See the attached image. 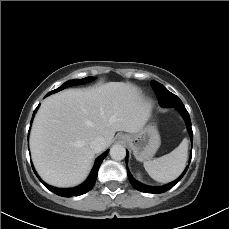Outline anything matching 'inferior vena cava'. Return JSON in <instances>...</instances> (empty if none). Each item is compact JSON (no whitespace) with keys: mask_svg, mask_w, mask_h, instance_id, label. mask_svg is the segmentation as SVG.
<instances>
[{"mask_svg":"<svg viewBox=\"0 0 229 229\" xmlns=\"http://www.w3.org/2000/svg\"><path fill=\"white\" fill-rule=\"evenodd\" d=\"M90 147L95 153L101 152L102 150L105 149V140H104V138L101 137V136L96 137L94 140L91 141Z\"/></svg>","mask_w":229,"mask_h":229,"instance_id":"1","label":"inferior vena cava"}]
</instances>
